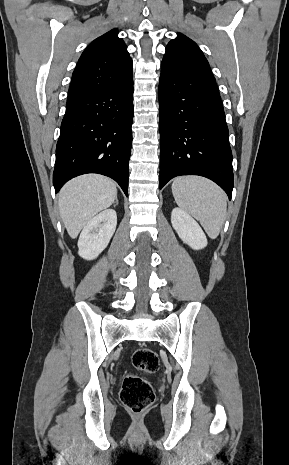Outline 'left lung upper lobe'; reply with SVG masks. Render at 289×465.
I'll return each instance as SVG.
<instances>
[{
  "label": "left lung upper lobe",
  "instance_id": "left-lung-upper-lobe-1",
  "mask_svg": "<svg viewBox=\"0 0 289 465\" xmlns=\"http://www.w3.org/2000/svg\"><path fill=\"white\" fill-rule=\"evenodd\" d=\"M161 72L215 80L207 59L194 41L183 34L171 40L161 63Z\"/></svg>",
  "mask_w": 289,
  "mask_h": 465
}]
</instances>
